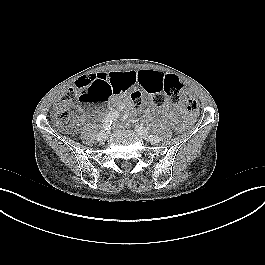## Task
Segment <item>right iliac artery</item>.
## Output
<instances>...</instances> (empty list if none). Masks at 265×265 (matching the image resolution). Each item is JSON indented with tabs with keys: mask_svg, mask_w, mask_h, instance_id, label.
<instances>
[{
	"mask_svg": "<svg viewBox=\"0 0 265 265\" xmlns=\"http://www.w3.org/2000/svg\"><path fill=\"white\" fill-rule=\"evenodd\" d=\"M119 117V113L117 111L110 113L107 117H105L102 127L107 130L110 128L113 121H115Z\"/></svg>",
	"mask_w": 265,
	"mask_h": 265,
	"instance_id": "obj_1",
	"label": "right iliac artery"
}]
</instances>
